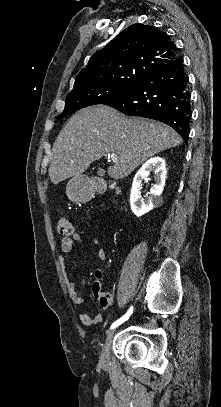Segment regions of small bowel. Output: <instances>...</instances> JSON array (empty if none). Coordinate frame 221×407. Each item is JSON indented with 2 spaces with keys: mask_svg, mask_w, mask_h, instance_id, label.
I'll use <instances>...</instances> for the list:
<instances>
[{
  "mask_svg": "<svg viewBox=\"0 0 221 407\" xmlns=\"http://www.w3.org/2000/svg\"><path fill=\"white\" fill-rule=\"evenodd\" d=\"M82 240V235L80 233H74L71 237H64L61 239L60 242V254L58 255V261L61 265H64L65 262V257L64 255H68L71 253L72 248H73V242H79ZM93 241L95 243H98V238L96 236L93 237ZM97 256L99 259L104 260L106 258L105 251L102 248H99L97 250ZM102 271L100 269H95L93 271V282H92V297L98 302L101 303L102 301H111V297L108 293H105L102 291V288L100 291L95 290L96 285L101 286V280H102ZM63 277H64V283L66 290L69 294V297L73 304L75 305H82L84 298L83 296L77 291V286L76 283L69 278L65 271L63 270ZM79 320L82 324L84 325H93V324H98L102 321V316L100 314L95 315L94 317H90L86 313L80 312L78 314Z\"/></svg>",
  "mask_w": 221,
  "mask_h": 407,
  "instance_id": "1",
  "label": "small bowel"
}]
</instances>
